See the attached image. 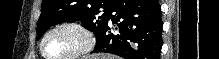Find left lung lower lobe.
<instances>
[{
  "mask_svg": "<svg viewBox=\"0 0 219 59\" xmlns=\"http://www.w3.org/2000/svg\"><path fill=\"white\" fill-rule=\"evenodd\" d=\"M112 24L117 26L116 30ZM162 26L158 0H114L91 53H112L125 59H160Z\"/></svg>",
  "mask_w": 219,
  "mask_h": 59,
  "instance_id": "obj_1",
  "label": "left lung lower lobe"
}]
</instances>
